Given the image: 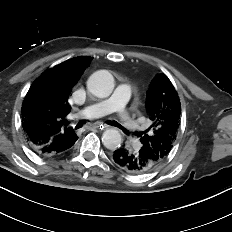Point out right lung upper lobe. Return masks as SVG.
Listing matches in <instances>:
<instances>
[{"label": "right lung upper lobe", "mask_w": 232, "mask_h": 232, "mask_svg": "<svg viewBox=\"0 0 232 232\" xmlns=\"http://www.w3.org/2000/svg\"><path fill=\"white\" fill-rule=\"evenodd\" d=\"M92 58L75 57L45 71L30 87L22 105V127L29 143L39 147L76 136L67 126L68 98Z\"/></svg>", "instance_id": "cb5924a9"}]
</instances>
